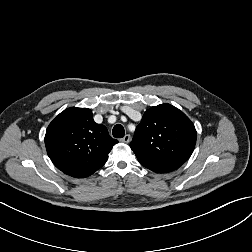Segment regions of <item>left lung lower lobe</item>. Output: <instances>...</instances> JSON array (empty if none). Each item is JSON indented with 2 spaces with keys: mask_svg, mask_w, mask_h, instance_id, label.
<instances>
[{
  "mask_svg": "<svg viewBox=\"0 0 252 252\" xmlns=\"http://www.w3.org/2000/svg\"><path fill=\"white\" fill-rule=\"evenodd\" d=\"M183 163L184 162L177 160H159L150 163L144 162L141 164L154 172L166 173L179 168Z\"/></svg>",
  "mask_w": 252,
  "mask_h": 252,
  "instance_id": "0a47b994",
  "label": "left lung lower lobe"
}]
</instances>
